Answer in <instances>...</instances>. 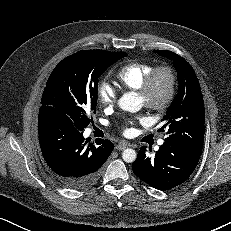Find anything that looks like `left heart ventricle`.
<instances>
[{"label":"left heart ventricle","instance_id":"left-heart-ventricle-1","mask_svg":"<svg viewBox=\"0 0 231 231\" xmlns=\"http://www.w3.org/2000/svg\"><path fill=\"white\" fill-rule=\"evenodd\" d=\"M166 89H167V79L165 75L162 74L157 79V83L154 89V97L156 99H161L164 96ZM139 101L142 103L140 97H139Z\"/></svg>","mask_w":231,"mask_h":231}]
</instances>
